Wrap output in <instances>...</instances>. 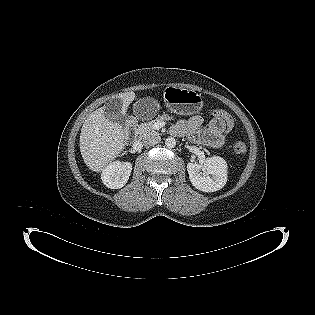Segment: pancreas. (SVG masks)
<instances>
[{"instance_id": "cf45deb5", "label": "pancreas", "mask_w": 315, "mask_h": 315, "mask_svg": "<svg viewBox=\"0 0 315 315\" xmlns=\"http://www.w3.org/2000/svg\"><path fill=\"white\" fill-rule=\"evenodd\" d=\"M170 117L167 115L160 116L156 118L155 120L149 121L148 123H142L138 126L136 129V134L140 139L145 138L147 135L150 134H158L157 131L153 128V124L155 121H163V120H169Z\"/></svg>"}]
</instances>
